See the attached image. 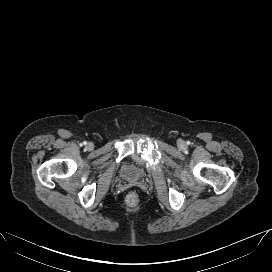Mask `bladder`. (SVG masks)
<instances>
[{"label":"bladder","mask_w":272,"mask_h":272,"mask_svg":"<svg viewBox=\"0 0 272 272\" xmlns=\"http://www.w3.org/2000/svg\"><path fill=\"white\" fill-rule=\"evenodd\" d=\"M144 168L133 160L125 162L120 170L122 179L134 182L140 180L144 176Z\"/></svg>","instance_id":"1"}]
</instances>
